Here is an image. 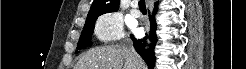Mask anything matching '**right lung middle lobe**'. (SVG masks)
<instances>
[{"label":"right lung middle lobe","mask_w":246,"mask_h":69,"mask_svg":"<svg viewBox=\"0 0 246 69\" xmlns=\"http://www.w3.org/2000/svg\"><path fill=\"white\" fill-rule=\"evenodd\" d=\"M95 21L96 20L86 21L77 45V49L80 50L91 45V38L95 26ZM76 53H78V51H76Z\"/></svg>","instance_id":"1"}]
</instances>
